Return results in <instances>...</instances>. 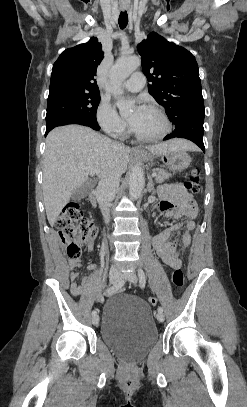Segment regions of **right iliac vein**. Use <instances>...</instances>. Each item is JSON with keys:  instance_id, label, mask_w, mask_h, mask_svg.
Here are the masks:
<instances>
[{"instance_id": "1", "label": "right iliac vein", "mask_w": 247, "mask_h": 407, "mask_svg": "<svg viewBox=\"0 0 247 407\" xmlns=\"http://www.w3.org/2000/svg\"><path fill=\"white\" fill-rule=\"evenodd\" d=\"M109 279L112 284H116L121 280V273L117 270L116 267H112L109 272ZM92 323L94 326L99 324V316L95 315L92 318Z\"/></svg>"}]
</instances>
